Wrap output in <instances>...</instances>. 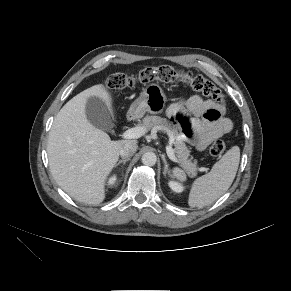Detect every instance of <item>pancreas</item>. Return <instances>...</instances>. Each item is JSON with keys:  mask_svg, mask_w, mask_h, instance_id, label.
<instances>
[{"mask_svg": "<svg viewBox=\"0 0 291 291\" xmlns=\"http://www.w3.org/2000/svg\"><path fill=\"white\" fill-rule=\"evenodd\" d=\"M143 125L146 129H155L166 133L170 138L174 139V154L176 155L177 162L182 168L186 170L187 173L192 176H196L197 167L196 162H192L189 158L190 151L187 148L182 135L178 132V128L168 122L166 118H161L159 116H146L143 119Z\"/></svg>", "mask_w": 291, "mask_h": 291, "instance_id": "1", "label": "pancreas"}]
</instances>
